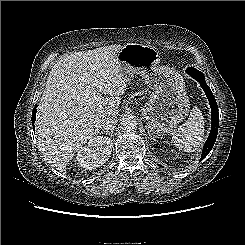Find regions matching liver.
<instances>
[{"instance_id": "obj_1", "label": "liver", "mask_w": 245, "mask_h": 245, "mask_svg": "<svg viewBox=\"0 0 245 245\" xmlns=\"http://www.w3.org/2000/svg\"><path fill=\"white\" fill-rule=\"evenodd\" d=\"M122 48L113 44L70 54L48 75L38 104V145L47 163L61 173L99 134L102 119L119 114L120 95L127 87L117 59Z\"/></svg>"}]
</instances>
